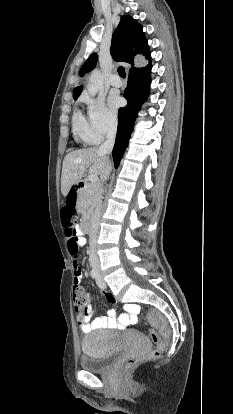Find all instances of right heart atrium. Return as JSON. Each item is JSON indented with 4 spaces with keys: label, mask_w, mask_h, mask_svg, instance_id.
Listing matches in <instances>:
<instances>
[{
    "label": "right heart atrium",
    "mask_w": 233,
    "mask_h": 414,
    "mask_svg": "<svg viewBox=\"0 0 233 414\" xmlns=\"http://www.w3.org/2000/svg\"><path fill=\"white\" fill-rule=\"evenodd\" d=\"M84 102L87 106L89 140L91 143H99L106 136L114 133L118 124L117 116L100 97H86Z\"/></svg>",
    "instance_id": "right-heart-atrium-1"
}]
</instances>
